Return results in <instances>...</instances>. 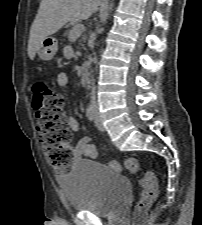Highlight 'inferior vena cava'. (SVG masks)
<instances>
[{
    "label": "inferior vena cava",
    "instance_id": "inferior-vena-cava-1",
    "mask_svg": "<svg viewBox=\"0 0 202 225\" xmlns=\"http://www.w3.org/2000/svg\"><path fill=\"white\" fill-rule=\"evenodd\" d=\"M91 103H92L94 106H96V96H95V87H94V83L92 84Z\"/></svg>",
    "mask_w": 202,
    "mask_h": 225
}]
</instances>
